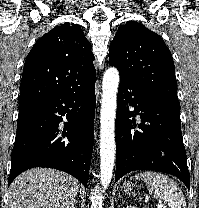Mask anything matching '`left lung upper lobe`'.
Instances as JSON below:
<instances>
[{
    "mask_svg": "<svg viewBox=\"0 0 199 208\" xmlns=\"http://www.w3.org/2000/svg\"><path fill=\"white\" fill-rule=\"evenodd\" d=\"M108 56L120 77L154 94L178 100L171 52L161 37L143 24L131 21L122 25Z\"/></svg>",
    "mask_w": 199,
    "mask_h": 208,
    "instance_id": "left-lung-upper-lobe-1",
    "label": "left lung upper lobe"
}]
</instances>
